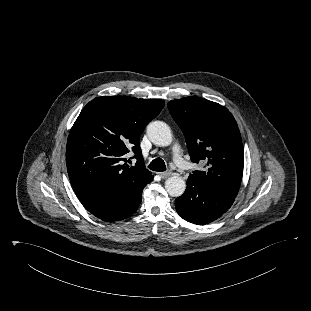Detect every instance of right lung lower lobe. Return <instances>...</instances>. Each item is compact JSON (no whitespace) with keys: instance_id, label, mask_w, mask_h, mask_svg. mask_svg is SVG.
Here are the masks:
<instances>
[{"instance_id":"obj_1","label":"right lung lower lobe","mask_w":311,"mask_h":311,"mask_svg":"<svg viewBox=\"0 0 311 311\" xmlns=\"http://www.w3.org/2000/svg\"><path fill=\"white\" fill-rule=\"evenodd\" d=\"M143 188L130 199L98 196H78V198L91 214L103 221L114 222L123 220L136 212L141 203Z\"/></svg>"}]
</instances>
